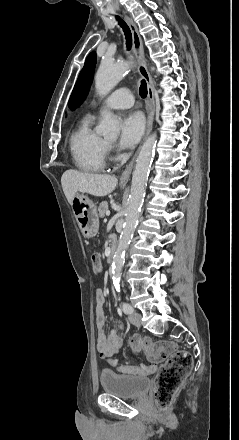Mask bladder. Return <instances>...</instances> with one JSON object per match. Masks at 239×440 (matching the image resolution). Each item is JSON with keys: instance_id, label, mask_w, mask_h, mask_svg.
<instances>
[{"instance_id": "31cf9c89", "label": "bladder", "mask_w": 239, "mask_h": 440, "mask_svg": "<svg viewBox=\"0 0 239 440\" xmlns=\"http://www.w3.org/2000/svg\"><path fill=\"white\" fill-rule=\"evenodd\" d=\"M100 384L107 394L131 399L144 396L151 387V381L147 377L121 375L110 370L101 371Z\"/></svg>"}]
</instances>
